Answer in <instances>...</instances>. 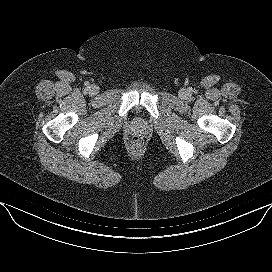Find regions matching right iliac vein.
I'll list each match as a JSON object with an SVG mask.
<instances>
[{"instance_id": "1", "label": "right iliac vein", "mask_w": 272, "mask_h": 272, "mask_svg": "<svg viewBox=\"0 0 272 272\" xmlns=\"http://www.w3.org/2000/svg\"><path fill=\"white\" fill-rule=\"evenodd\" d=\"M99 92V88L96 85H91L89 87V93L92 95H96Z\"/></svg>"}]
</instances>
